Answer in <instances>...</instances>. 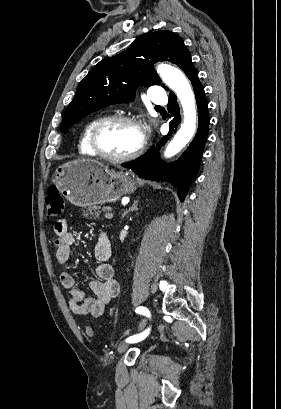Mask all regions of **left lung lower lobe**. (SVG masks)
I'll list each match as a JSON object with an SVG mask.
<instances>
[{
  "instance_id": "0a47b994",
  "label": "left lung lower lobe",
  "mask_w": 281,
  "mask_h": 409,
  "mask_svg": "<svg viewBox=\"0 0 281 409\" xmlns=\"http://www.w3.org/2000/svg\"><path fill=\"white\" fill-rule=\"evenodd\" d=\"M189 79L192 82L196 96L199 121L197 133L186 151L181 155L178 161L173 163L166 164L161 161L158 162L156 159L159 149L164 146L180 123L177 98L175 94L172 93L169 95L168 111L173 118L169 123L168 135L163 137L157 143L156 147L153 146L142 157L123 165V167L131 169L141 178L170 182L177 188L178 197L181 201H184L190 184L197 176L209 130L208 103L196 69L191 73Z\"/></svg>"
}]
</instances>
